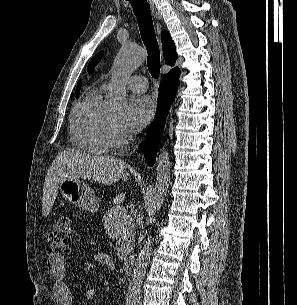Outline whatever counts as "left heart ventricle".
Instances as JSON below:
<instances>
[{
  "label": "left heart ventricle",
  "instance_id": "1",
  "mask_svg": "<svg viewBox=\"0 0 297 305\" xmlns=\"http://www.w3.org/2000/svg\"><path fill=\"white\" fill-rule=\"evenodd\" d=\"M112 120L115 124L121 126L123 119L120 117H112Z\"/></svg>",
  "mask_w": 297,
  "mask_h": 305
}]
</instances>
